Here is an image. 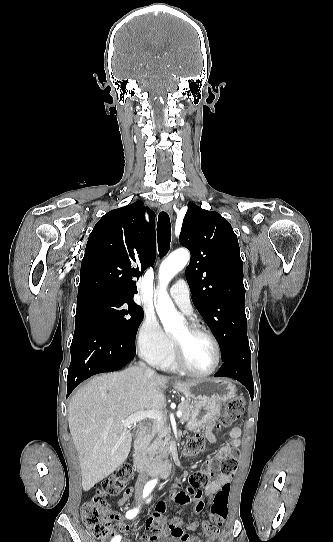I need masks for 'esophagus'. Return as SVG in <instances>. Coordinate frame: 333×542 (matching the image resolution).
<instances>
[{
  "mask_svg": "<svg viewBox=\"0 0 333 542\" xmlns=\"http://www.w3.org/2000/svg\"><path fill=\"white\" fill-rule=\"evenodd\" d=\"M162 209L167 212L170 216H172L173 214V210H172V207L171 205L168 203V204H165Z\"/></svg>",
  "mask_w": 333,
  "mask_h": 542,
  "instance_id": "esophagus-1",
  "label": "esophagus"
}]
</instances>
